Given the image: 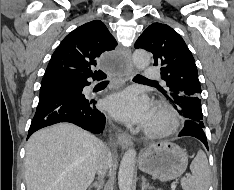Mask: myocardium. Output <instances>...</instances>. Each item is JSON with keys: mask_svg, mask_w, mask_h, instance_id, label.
<instances>
[{"mask_svg": "<svg viewBox=\"0 0 234 190\" xmlns=\"http://www.w3.org/2000/svg\"><path fill=\"white\" fill-rule=\"evenodd\" d=\"M153 114L161 119L162 123L159 126H147L144 133L148 137H164L175 133L179 129V116L171 106L165 103H158L154 107Z\"/></svg>", "mask_w": 234, "mask_h": 190, "instance_id": "1", "label": "myocardium"}]
</instances>
